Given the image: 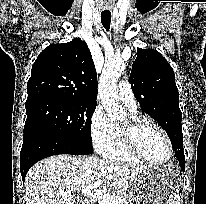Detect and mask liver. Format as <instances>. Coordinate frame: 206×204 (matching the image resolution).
<instances>
[{"mask_svg":"<svg viewBox=\"0 0 206 204\" xmlns=\"http://www.w3.org/2000/svg\"><path fill=\"white\" fill-rule=\"evenodd\" d=\"M146 167L93 156L56 155L35 164L25 179L26 204H78L72 193L102 181V191L130 185ZM67 192L71 195L64 196Z\"/></svg>","mask_w":206,"mask_h":204,"instance_id":"liver-1","label":"liver"}]
</instances>
